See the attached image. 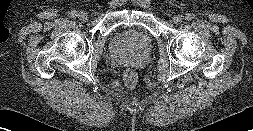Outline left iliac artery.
Returning a JSON list of instances; mask_svg holds the SVG:
<instances>
[{"instance_id":"1","label":"left iliac artery","mask_w":253,"mask_h":131,"mask_svg":"<svg viewBox=\"0 0 253 131\" xmlns=\"http://www.w3.org/2000/svg\"><path fill=\"white\" fill-rule=\"evenodd\" d=\"M185 20H187V21H191L192 19H193V15L191 14V13H187V14H185Z\"/></svg>"}]
</instances>
